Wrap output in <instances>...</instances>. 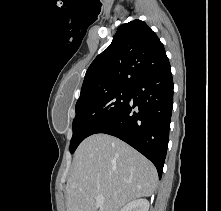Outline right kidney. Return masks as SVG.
Listing matches in <instances>:
<instances>
[{
  "instance_id": "obj_1",
  "label": "right kidney",
  "mask_w": 221,
  "mask_h": 211,
  "mask_svg": "<svg viewBox=\"0 0 221 211\" xmlns=\"http://www.w3.org/2000/svg\"><path fill=\"white\" fill-rule=\"evenodd\" d=\"M149 202L146 199H137L126 204L120 211H148Z\"/></svg>"
}]
</instances>
